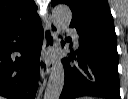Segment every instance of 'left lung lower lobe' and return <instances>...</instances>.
Wrapping results in <instances>:
<instances>
[{"instance_id":"obj_1","label":"left lung lower lobe","mask_w":128,"mask_h":99,"mask_svg":"<svg viewBox=\"0 0 128 99\" xmlns=\"http://www.w3.org/2000/svg\"><path fill=\"white\" fill-rule=\"evenodd\" d=\"M77 33L79 48L70 54L77 63L63 59L65 82L59 99L81 96L121 99L116 35L95 29H77Z\"/></svg>"}]
</instances>
